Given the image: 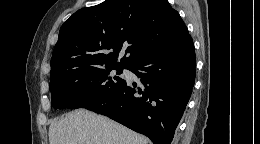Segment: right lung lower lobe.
<instances>
[{
	"instance_id": "obj_1",
	"label": "right lung lower lobe",
	"mask_w": 260,
	"mask_h": 144,
	"mask_svg": "<svg viewBox=\"0 0 260 144\" xmlns=\"http://www.w3.org/2000/svg\"><path fill=\"white\" fill-rule=\"evenodd\" d=\"M127 69L141 85L124 82L109 96L82 108L106 115L146 135L154 144H170L195 82L192 37L149 53Z\"/></svg>"
}]
</instances>
